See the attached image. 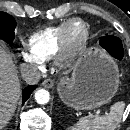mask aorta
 <instances>
[{
	"instance_id": "1",
	"label": "aorta",
	"mask_w": 130,
	"mask_h": 130,
	"mask_svg": "<svg viewBox=\"0 0 130 130\" xmlns=\"http://www.w3.org/2000/svg\"><path fill=\"white\" fill-rule=\"evenodd\" d=\"M50 94L45 89H39L35 93V100L38 104H46L49 102Z\"/></svg>"
}]
</instances>
